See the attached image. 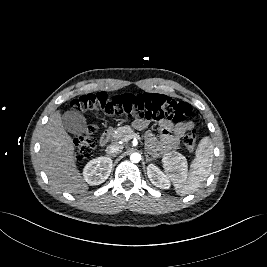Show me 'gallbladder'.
I'll return each mask as SVG.
<instances>
[{"mask_svg":"<svg viewBox=\"0 0 267 267\" xmlns=\"http://www.w3.org/2000/svg\"><path fill=\"white\" fill-rule=\"evenodd\" d=\"M62 124L69 133L74 135H83L88 133L86 119L78 111L65 112L62 115Z\"/></svg>","mask_w":267,"mask_h":267,"instance_id":"gallbladder-1","label":"gallbladder"}]
</instances>
